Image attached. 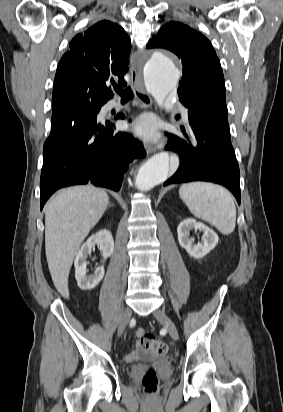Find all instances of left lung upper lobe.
I'll return each instance as SVG.
<instances>
[{"instance_id":"obj_1","label":"left lung upper lobe","mask_w":283,"mask_h":412,"mask_svg":"<svg viewBox=\"0 0 283 412\" xmlns=\"http://www.w3.org/2000/svg\"><path fill=\"white\" fill-rule=\"evenodd\" d=\"M164 48L182 61L178 96L188 114L214 131L229 134L225 82L221 65L209 40L180 22H169L147 44Z\"/></svg>"}]
</instances>
